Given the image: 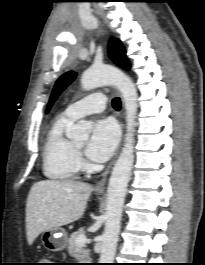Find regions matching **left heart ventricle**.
<instances>
[{"label":"left heart ventricle","mask_w":205,"mask_h":265,"mask_svg":"<svg viewBox=\"0 0 205 265\" xmlns=\"http://www.w3.org/2000/svg\"><path fill=\"white\" fill-rule=\"evenodd\" d=\"M76 145H77L78 147H82V146L84 145V142H78Z\"/></svg>","instance_id":"1"}]
</instances>
